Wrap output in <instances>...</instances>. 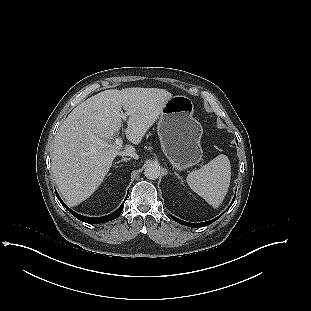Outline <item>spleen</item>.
Wrapping results in <instances>:
<instances>
[{"mask_svg": "<svg viewBox=\"0 0 311 311\" xmlns=\"http://www.w3.org/2000/svg\"><path fill=\"white\" fill-rule=\"evenodd\" d=\"M231 179L228 157L220 154L198 170L188 174L186 180L190 188L214 208L223 202Z\"/></svg>", "mask_w": 311, "mask_h": 311, "instance_id": "obj_1", "label": "spleen"}]
</instances>
